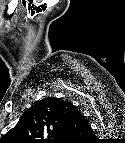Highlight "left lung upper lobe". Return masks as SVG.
Masks as SVG:
<instances>
[{
    "label": "left lung upper lobe",
    "instance_id": "1",
    "mask_svg": "<svg viewBox=\"0 0 125 143\" xmlns=\"http://www.w3.org/2000/svg\"><path fill=\"white\" fill-rule=\"evenodd\" d=\"M68 105L53 97L36 102L23 114L8 138L30 141L61 135L68 122Z\"/></svg>",
    "mask_w": 125,
    "mask_h": 143
}]
</instances>
